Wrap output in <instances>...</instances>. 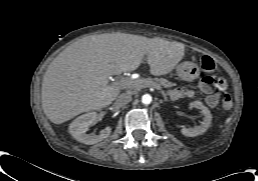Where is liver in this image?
I'll return each instance as SVG.
<instances>
[{"label":"liver","mask_w":258,"mask_h":181,"mask_svg":"<svg viewBox=\"0 0 258 181\" xmlns=\"http://www.w3.org/2000/svg\"><path fill=\"white\" fill-rule=\"evenodd\" d=\"M184 56V45L162 38L126 33L87 36L64 49L48 66L42 82V108L48 119L62 124L90 110L109 106L119 89L111 75L133 71L146 60L150 73H170Z\"/></svg>","instance_id":"1"}]
</instances>
